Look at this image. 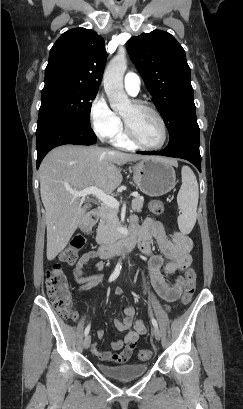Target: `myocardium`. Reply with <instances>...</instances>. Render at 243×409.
Instances as JSON below:
<instances>
[{
  "mask_svg": "<svg viewBox=\"0 0 243 409\" xmlns=\"http://www.w3.org/2000/svg\"><path fill=\"white\" fill-rule=\"evenodd\" d=\"M131 103L133 104V106L137 107V108H144L147 109L148 111H150L158 120V122L160 123L161 129H162V140L160 143L156 144V145H149L144 143L142 140H140L136 134L133 132L130 124L127 122V120L123 117L124 120V125H125V134L128 138V140L139 147L145 148V149H149V150H158L161 149L168 140V130H167V125L165 123L164 118L162 117V115L160 114V112L153 106L151 105L149 102L141 100V99H134L131 101Z\"/></svg>",
  "mask_w": 243,
  "mask_h": 409,
  "instance_id": "obj_1",
  "label": "myocardium"
}]
</instances>
